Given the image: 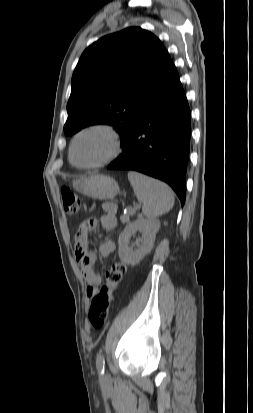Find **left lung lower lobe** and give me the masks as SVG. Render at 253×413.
I'll use <instances>...</instances> for the list:
<instances>
[{
    "label": "left lung lower lobe",
    "instance_id": "left-lung-lower-lobe-1",
    "mask_svg": "<svg viewBox=\"0 0 253 413\" xmlns=\"http://www.w3.org/2000/svg\"><path fill=\"white\" fill-rule=\"evenodd\" d=\"M191 136V112L173 62L131 121L122 153L108 169L134 170L168 183L183 206Z\"/></svg>",
    "mask_w": 253,
    "mask_h": 413
}]
</instances>
